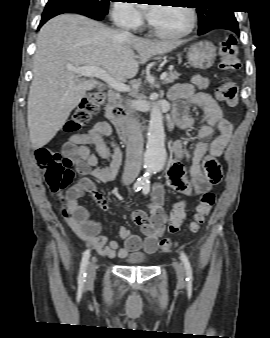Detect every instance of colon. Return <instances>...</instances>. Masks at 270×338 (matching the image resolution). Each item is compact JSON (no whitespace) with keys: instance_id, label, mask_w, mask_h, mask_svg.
Wrapping results in <instances>:
<instances>
[{"instance_id":"5ec220e1","label":"colon","mask_w":270,"mask_h":338,"mask_svg":"<svg viewBox=\"0 0 270 338\" xmlns=\"http://www.w3.org/2000/svg\"><path fill=\"white\" fill-rule=\"evenodd\" d=\"M237 40L234 36H227L220 42L221 68L227 72H235L240 69L241 63L238 58ZM220 98L226 102L228 106L237 104V88L235 84L226 79L220 90ZM105 103V95L100 92H92L85 96L75 109L71 119L66 123L69 131H74L87 124L94 115L101 112ZM227 126V122L220 124L221 128ZM34 158L36 164L44 172L46 184L53 193H59L65 190L74 178V172L71 168L72 161L68 158L62 159L57 152L47 147H40L35 150ZM204 169L213 173H219L220 167L213 159L204 162ZM215 203V194L212 192L205 193L195 210L190 231L195 233L205 222L206 217L211 212ZM170 222L168 230L171 233L178 231L180 225L185 218V204L177 203L170 211ZM145 216L143 217V221ZM161 249L169 252L173 248V242L170 238H163L160 242Z\"/></svg>"}]
</instances>
